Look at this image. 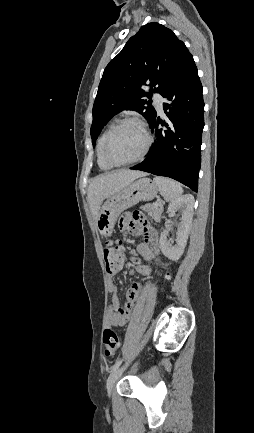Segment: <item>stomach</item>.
<instances>
[{
    "instance_id": "0dacf381",
    "label": "stomach",
    "mask_w": 254,
    "mask_h": 433,
    "mask_svg": "<svg viewBox=\"0 0 254 433\" xmlns=\"http://www.w3.org/2000/svg\"><path fill=\"white\" fill-rule=\"evenodd\" d=\"M158 186L149 178H140L113 194L102 206L96 221L102 237L111 236L119 215L140 201L156 197Z\"/></svg>"
}]
</instances>
